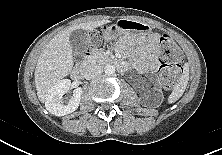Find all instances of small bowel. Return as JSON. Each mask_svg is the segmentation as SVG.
Masks as SVG:
<instances>
[{"label": "small bowel", "instance_id": "c3829d8e", "mask_svg": "<svg viewBox=\"0 0 222 155\" xmlns=\"http://www.w3.org/2000/svg\"><path fill=\"white\" fill-rule=\"evenodd\" d=\"M119 48H124L123 43L118 44ZM156 55H157V37L153 36L149 40L147 46L143 49L141 58L138 61V66L140 69L156 68Z\"/></svg>", "mask_w": 222, "mask_h": 155}]
</instances>
